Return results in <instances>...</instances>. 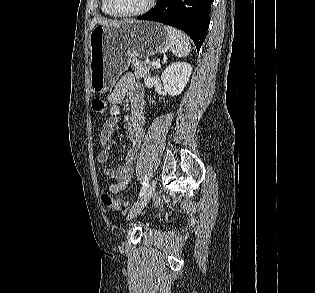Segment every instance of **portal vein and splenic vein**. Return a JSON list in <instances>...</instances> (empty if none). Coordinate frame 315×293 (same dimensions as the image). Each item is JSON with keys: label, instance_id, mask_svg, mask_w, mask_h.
<instances>
[{"label": "portal vein and splenic vein", "instance_id": "obj_1", "mask_svg": "<svg viewBox=\"0 0 315 293\" xmlns=\"http://www.w3.org/2000/svg\"><path fill=\"white\" fill-rule=\"evenodd\" d=\"M152 65L155 66V67H157V68H160V67H161L160 63L157 62V61H153V62H152Z\"/></svg>", "mask_w": 315, "mask_h": 293}]
</instances>
